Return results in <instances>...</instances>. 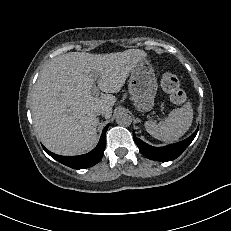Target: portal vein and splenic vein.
Segmentation results:
<instances>
[{"mask_svg":"<svg viewBox=\"0 0 231 231\" xmlns=\"http://www.w3.org/2000/svg\"><path fill=\"white\" fill-rule=\"evenodd\" d=\"M94 76H95V79L98 78V75L95 74ZM92 94L94 96H97L99 94V90H98V88L96 86L93 87Z\"/></svg>","mask_w":231,"mask_h":231,"instance_id":"obj_1","label":"portal vein and splenic vein"}]
</instances>
